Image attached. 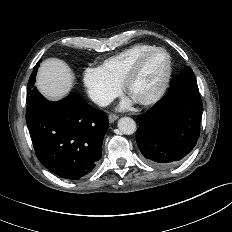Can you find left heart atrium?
Here are the masks:
<instances>
[{"label": "left heart atrium", "instance_id": "left-heart-atrium-1", "mask_svg": "<svg viewBox=\"0 0 232 232\" xmlns=\"http://www.w3.org/2000/svg\"><path fill=\"white\" fill-rule=\"evenodd\" d=\"M132 103V99L128 98L126 100L123 101V103L121 104L122 108H126L128 107L130 104Z\"/></svg>", "mask_w": 232, "mask_h": 232}]
</instances>
